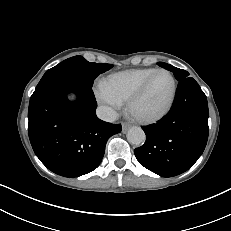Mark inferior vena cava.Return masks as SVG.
Segmentation results:
<instances>
[{"label":"inferior vena cava","mask_w":231,"mask_h":231,"mask_svg":"<svg viewBox=\"0 0 231 231\" xmlns=\"http://www.w3.org/2000/svg\"><path fill=\"white\" fill-rule=\"evenodd\" d=\"M96 114L99 119L107 122H113L117 119L116 111L108 106H99L96 109Z\"/></svg>","instance_id":"1"}]
</instances>
